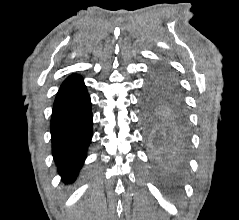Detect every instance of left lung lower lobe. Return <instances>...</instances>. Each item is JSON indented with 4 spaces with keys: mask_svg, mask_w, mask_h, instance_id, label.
Segmentation results:
<instances>
[{
    "mask_svg": "<svg viewBox=\"0 0 239 220\" xmlns=\"http://www.w3.org/2000/svg\"><path fill=\"white\" fill-rule=\"evenodd\" d=\"M187 124L184 110L174 111L159 128L150 130L149 144L155 156L163 163L182 160L187 140Z\"/></svg>",
    "mask_w": 239,
    "mask_h": 220,
    "instance_id": "left-lung-lower-lobe-1",
    "label": "left lung lower lobe"
}]
</instances>
